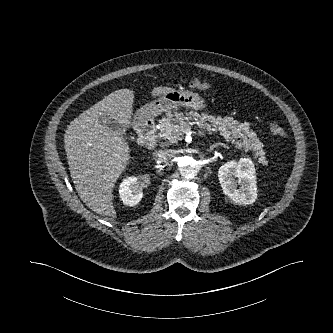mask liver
Instances as JSON below:
<instances>
[{
	"label": "liver",
	"instance_id": "obj_1",
	"mask_svg": "<svg viewBox=\"0 0 333 333\" xmlns=\"http://www.w3.org/2000/svg\"><path fill=\"white\" fill-rule=\"evenodd\" d=\"M172 90L156 87L153 97ZM134 92L119 89L81 113L67 127L65 151L70 175L81 200L92 211L116 217L113 206V187L130 159L129 145L103 122V117L115 119L124 127L137 124L133 115Z\"/></svg>",
	"mask_w": 333,
	"mask_h": 333
}]
</instances>
